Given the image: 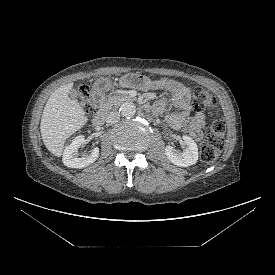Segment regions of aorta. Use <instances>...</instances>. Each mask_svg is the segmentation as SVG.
<instances>
[{"instance_id": "aorta-1", "label": "aorta", "mask_w": 275, "mask_h": 275, "mask_svg": "<svg viewBox=\"0 0 275 275\" xmlns=\"http://www.w3.org/2000/svg\"><path fill=\"white\" fill-rule=\"evenodd\" d=\"M120 113L124 117H131L136 113V107L133 103L125 102L120 107Z\"/></svg>"}]
</instances>
